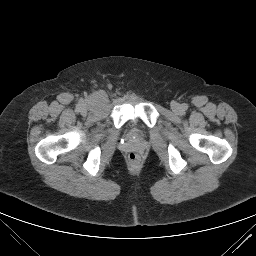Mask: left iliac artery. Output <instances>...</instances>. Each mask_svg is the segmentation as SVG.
I'll return each mask as SVG.
<instances>
[{
  "label": "left iliac artery",
  "mask_w": 256,
  "mask_h": 256,
  "mask_svg": "<svg viewBox=\"0 0 256 256\" xmlns=\"http://www.w3.org/2000/svg\"><path fill=\"white\" fill-rule=\"evenodd\" d=\"M182 109H183V110H187V109H188L187 104H183V105H182Z\"/></svg>",
  "instance_id": "left-iliac-artery-1"
}]
</instances>
